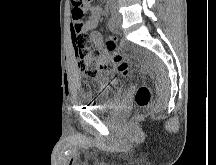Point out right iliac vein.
Segmentation results:
<instances>
[{
    "label": "right iliac vein",
    "mask_w": 216,
    "mask_h": 165,
    "mask_svg": "<svg viewBox=\"0 0 216 165\" xmlns=\"http://www.w3.org/2000/svg\"><path fill=\"white\" fill-rule=\"evenodd\" d=\"M112 18L117 25L121 23V16L115 11V9L112 11Z\"/></svg>",
    "instance_id": "1"
}]
</instances>
